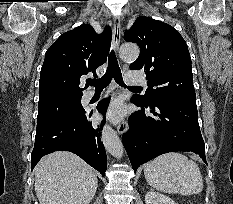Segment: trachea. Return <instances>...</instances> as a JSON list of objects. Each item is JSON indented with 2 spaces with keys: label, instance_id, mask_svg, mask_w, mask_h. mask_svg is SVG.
<instances>
[{
  "label": "trachea",
  "instance_id": "3493384b",
  "mask_svg": "<svg viewBox=\"0 0 233 204\" xmlns=\"http://www.w3.org/2000/svg\"><path fill=\"white\" fill-rule=\"evenodd\" d=\"M113 78L117 84H119L122 87H126V85L123 82L122 73H121V70L119 68V64H118L117 58L115 56V53H114V51H111V53L109 55V60H108V68H107L104 76H102L99 79H90L87 81V83L90 86H95L96 90H102L109 85V83L111 82V80ZM128 88L129 89H138L140 87L129 86Z\"/></svg>",
  "mask_w": 233,
  "mask_h": 204
}]
</instances>
